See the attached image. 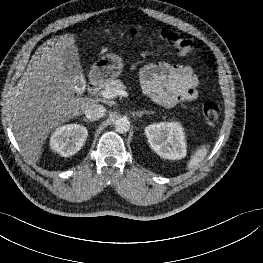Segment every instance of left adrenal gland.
<instances>
[{"label":"left adrenal gland","mask_w":263,"mask_h":263,"mask_svg":"<svg viewBox=\"0 0 263 263\" xmlns=\"http://www.w3.org/2000/svg\"><path fill=\"white\" fill-rule=\"evenodd\" d=\"M152 113H153V111L144 110V111L137 112L136 116L141 117L143 114H152Z\"/></svg>","instance_id":"obj_1"}]
</instances>
